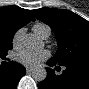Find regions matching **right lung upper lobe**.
I'll use <instances>...</instances> for the list:
<instances>
[{
    "label": "right lung upper lobe",
    "mask_w": 89,
    "mask_h": 89,
    "mask_svg": "<svg viewBox=\"0 0 89 89\" xmlns=\"http://www.w3.org/2000/svg\"><path fill=\"white\" fill-rule=\"evenodd\" d=\"M32 10L20 8L18 6H5L0 8V33L14 36L21 27L34 21Z\"/></svg>",
    "instance_id": "1"
}]
</instances>
